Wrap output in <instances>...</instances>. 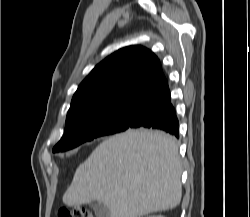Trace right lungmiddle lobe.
Instances as JSON below:
<instances>
[{"label": "right lung middle lobe", "mask_w": 250, "mask_h": 217, "mask_svg": "<svg viewBox=\"0 0 250 217\" xmlns=\"http://www.w3.org/2000/svg\"><path fill=\"white\" fill-rule=\"evenodd\" d=\"M138 105H115L66 120L64 136L53 148V152H63L97 137L125 131L130 127Z\"/></svg>", "instance_id": "dd1d6c3e"}]
</instances>
